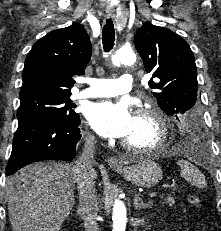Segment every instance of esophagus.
I'll list each match as a JSON object with an SVG mask.
<instances>
[{
	"label": "esophagus",
	"mask_w": 221,
	"mask_h": 231,
	"mask_svg": "<svg viewBox=\"0 0 221 231\" xmlns=\"http://www.w3.org/2000/svg\"><path fill=\"white\" fill-rule=\"evenodd\" d=\"M107 17L109 18H114L115 17V13L114 11L108 10L107 12ZM108 164L112 167H120L122 166V163L120 162V160L114 156H110L108 157Z\"/></svg>",
	"instance_id": "esophagus-1"
}]
</instances>
